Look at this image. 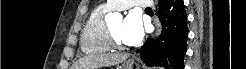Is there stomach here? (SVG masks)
I'll return each mask as SVG.
<instances>
[{"mask_svg":"<svg viewBox=\"0 0 246 69\" xmlns=\"http://www.w3.org/2000/svg\"><path fill=\"white\" fill-rule=\"evenodd\" d=\"M122 69H139V66L134 60H128L124 63Z\"/></svg>","mask_w":246,"mask_h":69,"instance_id":"stomach-1","label":"stomach"}]
</instances>
